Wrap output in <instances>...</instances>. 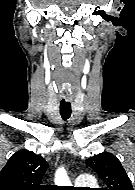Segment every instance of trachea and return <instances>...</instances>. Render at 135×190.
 Masks as SVG:
<instances>
[{
	"label": "trachea",
	"mask_w": 135,
	"mask_h": 190,
	"mask_svg": "<svg viewBox=\"0 0 135 190\" xmlns=\"http://www.w3.org/2000/svg\"><path fill=\"white\" fill-rule=\"evenodd\" d=\"M71 104L70 103H60V115L63 120H67L71 116Z\"/></svg>",
	"instance_id": "3493384b"
}]
</instances>
